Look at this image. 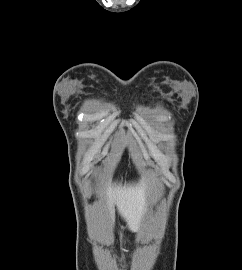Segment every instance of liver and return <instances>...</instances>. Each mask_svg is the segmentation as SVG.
<instances>
[{
	"mask_svg": "<svg viewBox=\"0 0 242 270\" xmlns=\"http://www.w3.org/2000/svg\"><path fill=\"white\" fill-rule=\"evenodd\" d=\"M152 182L155 183V179H152ZM104 194L108 198L109 209L115 203L118 213L126 220L129 229L136 231L146 212V198L150 196L145 180L124 186L109 183Z\"/></svg>",
	"mask_w": 242,
	"mask_h": 270,
	"instance_id": "1",
	"label": "liver"
}]
</instances>
